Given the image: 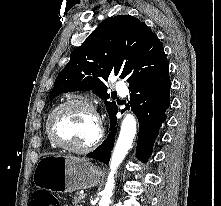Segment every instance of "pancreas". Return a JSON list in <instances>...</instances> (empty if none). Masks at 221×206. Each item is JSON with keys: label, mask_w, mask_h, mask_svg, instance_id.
I'll return each mask as SVG.
<instances>
[{"label": "pancreas", "mask_w": 221, "mask_h": 206, "mask_svg": "<svg viewBox=\"0 0 221 206\" xmlns=\"http://www.w3.org/2000/svg\"><path fill=\"white\" fill-rule=\"evenodd\" d=\"M84 195H80L79 193H77L76 195H74V199H73V205L74 206H83V197Z\"/></svg>", "instance_id": "obj_1"}]
</instances>
